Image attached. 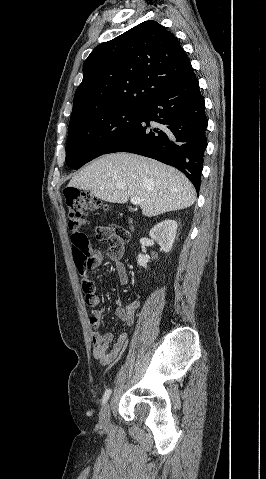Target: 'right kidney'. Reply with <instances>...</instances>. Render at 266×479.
Instances as JSON below:
<instances>
[{"label":"right kidney","instance_id":"1","mask_svg":"<svg viewBox=\"0 0 266 479\" xmlns=\"http://www.w3.org/2000/svg\"><path fill=\"white\" fill-rule=\"evenodd\" d=\"M177 227L178 225L175 220L167 219L156 224L150 230L149 236L159 244L162 251L168 253L173 246ZM148 261L149 259L143 254H139L137 257L138 265L144 268H147Z\"/></svg>","mask_w":266,"mask_h":479}]
</instances>
